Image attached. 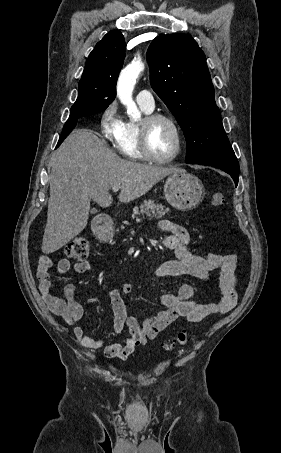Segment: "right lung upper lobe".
<instances>
[{"label": "right lung upper lobe", "mask_w": 281, "mask_h": 453, "mask_svg": "<svg viewBox=\"0 0 281 453\" xmlns=\"http://www.w3.org/2000/svg\"><path fill=\"white\" fill-rule=\"evenodd\" d=\"M125 40L119 30L108 32L90 53L72 108L104 110L116 96V81L125 58Z\"/></svg>", "instance_id": "obj_1"}]
</instances>
